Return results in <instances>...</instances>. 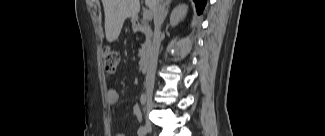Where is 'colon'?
Segmentation results:
<instances>
[{
	"label": "colon",
	"mask_w": 325,
	"mask_h": 136,
	"mask_svg": "<svg viewBox=\"0 0 325 136\" xmlns=\"http://www.w3.org/2000/svg\"><path fill=\"white\" fill-rule=\"evenodd\" d=\"M103 65L106 73L114 74L120 63V54L111 47L103 49Z\"/></svg>",
	"instance_id": "1"
}]
</instances>
